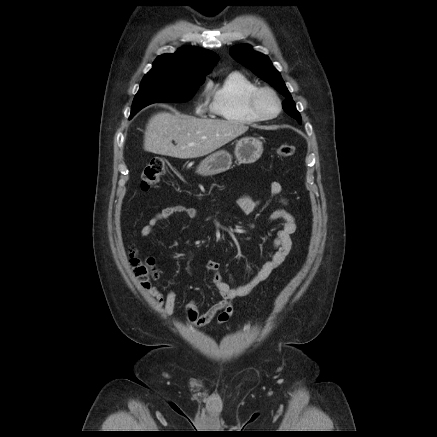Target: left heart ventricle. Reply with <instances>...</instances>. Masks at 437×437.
<instances>
[{
  "mask_svg": "<svg viewBox=\"0 0 437 437\" xmlns=\"http://www.w3.org/2000/svg\"><path fill=\"white\" fill-rule=\"evenodd\" d=\"M258 106L266 115H273L277 111V103L270 94H262L259 98Z\"/></svg>",
  "mask_w": 437,
  "mask_h": 437,
  "instance_id": "left-heart-ventricle-1",
  "label": "left heart ventricle"
}]
</instances>
